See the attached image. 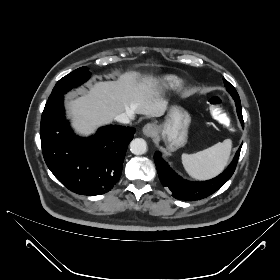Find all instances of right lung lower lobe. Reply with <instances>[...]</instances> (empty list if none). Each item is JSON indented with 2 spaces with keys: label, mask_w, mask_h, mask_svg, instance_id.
<instances>
[{
  "label": "right lung lower lobe",
  "mask_w": 280,
  "mask_h": 280,
  "mask_svg": "<svg viewBox=\"0 0 280 280\" xmlns=\"http://www.w3.org/2000/svg\"><path fill=\"white\" fill-rule=\"evenodd\" d=\"M135 128L110 125L90 138L73 134L65 120L63 97L44 108L40 137L44 160L54 176L70 191L101 195L119 181L126 150Z\"/></svg>",
  "instance_id": "1"
}]
</instances>
